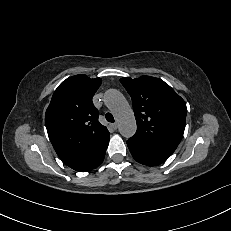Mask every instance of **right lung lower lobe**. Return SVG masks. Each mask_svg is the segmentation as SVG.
Segmentation results:
<instances>
[{
    "label": "right lung lower lobe",
    "mask_w": 231,
    "mask_h": 231,
    "mask_svg": "<svg viewBox=\"0 0 231 231\" xmlns=\"http://www.w3.org/2000/svg\"><path fill=\"white\" fill-rule=\"evenodd\" d=\"M105 151L100 155V157H99V159L97 161V164L94 166V168H96L97 166H99L103 162V159H104V156H105ZM94 168H91V170L94 169ZM80 172H87V171H80Z\"/></svg>",
    "instance_id": "98d812e1"
}]
</instances>
